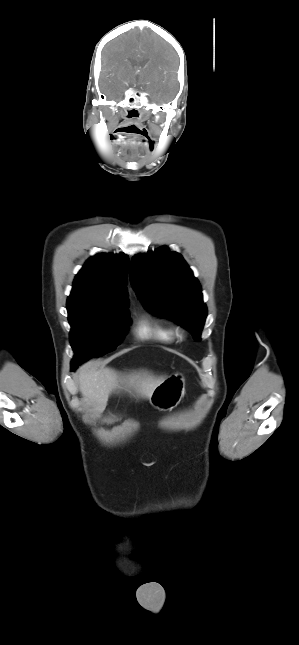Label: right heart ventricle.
I'll return each mask as SVG.
<instances>
[{
  "mask_svg": "<svg viewBox=\"0 0 299 645\" xmlns=\"http://www.w3.org/2000/svg\"><path fill=\"white\" fill-rule=\"evenodd\" d=\"M135 336L140 340H153L158 342H170L174 338V331L159 322L149 313H142L134 328Z\"/></svg>",
  "mask_w": 299,
  "mask_h": 645,
  "instance_id": "1",
  "label": "right heart ventricle"
}]
</instances>
